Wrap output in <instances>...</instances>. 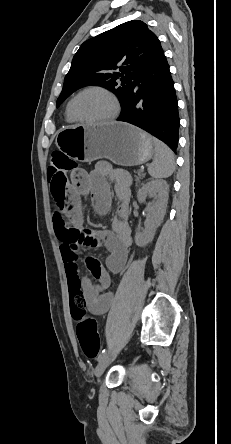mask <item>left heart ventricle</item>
I'll use <instances>...</instances> for the list:
<instances>
[{"mask_svg":"<svg viewBox=\"0 0 231 444\" xmlns=\"http://www.w3.org/2000/svg\"><path fill=\"white\" fill-rule=\"evenodd\" d=\"M77 114L87 120H98L112 112L109 99L99 91H88L82 94L75 103Z\"/></svg>","mask_w":231,"mask_h":444,"instance_id":"left-heart-ventricle-1","label":"left heart ventricle"}]
</instances>
